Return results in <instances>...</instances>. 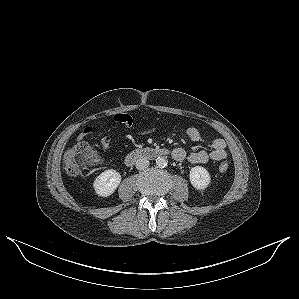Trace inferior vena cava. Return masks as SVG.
Listing matches in <instances>:
<instances>
[{"label": "inferior vena cava", "mask_w": 299, "mask_h": 299, "mask_svg": "<svg viewBox=\"0 0 299 299\" xmlns=\"http://www.w3.org/2000/svg\"><path fill=\"white\" fill-rule=\"evenodd\" d=\"M149 160L147 158L141 157L136 161V168L138 170H144L149 166Z\"/></svg>", "instance_id": "1"}]
</instances>
